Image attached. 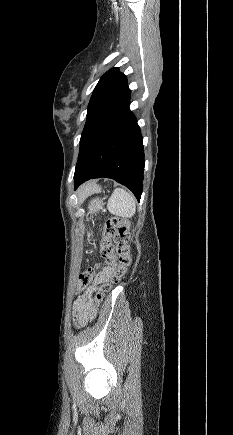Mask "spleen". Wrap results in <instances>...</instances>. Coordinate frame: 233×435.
I'll return each mask as SVG.
<instances>
[{"label": "spleen", "mask_w": 233, "mask_h": 435, "mask_svg": "<svg viewBox=\"0 0 233 435\" xmlns=\"http://www.w3.org/2000/svg\"><path fill=\"white\" fill-rule=\"evenodd\" d=\"M107 208L115 216L129 218L136 212V200L126 190L116 188L108 200Z\"/></svg>", "instance_id": "1"}]
</instances>
